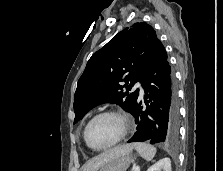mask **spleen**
<instances>
[{"label": "spleen", "mask_w": 223, "mask_h": 171, "mask_svg": "<svg viewBox=\"0 0 223 171\" xmlns=\"http://www.w3.org/2000/svg\"><path fill=\"white\" fill-rule=\"evenodd\" d=\"M133 146L138 152V154L147 161H151L154 158L157 151L154 146L147 143L137 142L134 143Z\"/></svg>", "instance_id": "spleen-1"}]
</instances>
